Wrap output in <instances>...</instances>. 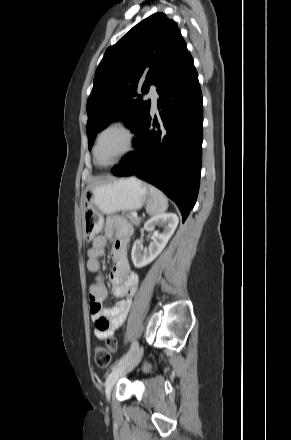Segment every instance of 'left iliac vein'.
Returning a JSON list of instances; mask_svg holds the SVG:
<instances>
[{"label": "left iliac vein", "instance_id": "obj_1", "mask_svg": "<svg viewBox=\"0 0 291 440\" xmlns=\"http://www.w3.org/2000/svg\"><path fill=\"white\" fill-rule=\"evenodd\" d=\"M143 355V348L139 347L132 356L123 364L118 365L114 368L106 379L105 393L106 397L109 398L111 390L114 384L120 377H123L127 373L131 372L141 361Z\"/></svg>", "mask_w": 291, "mask_h": 440}]
</instances>
